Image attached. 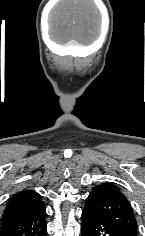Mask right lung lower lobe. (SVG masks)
<instances>
[{
	"label": "right lung lower lobe",
	"instance_id": "1",
	"mask_svg": "<svg viewBox=\"0 0 145 236\" xmlns=\"http://www.w3.org/2000/svg\"><path fill=\"white\" fill-rule=\"evenodd\" d=\"M45 207L15 218L3 221L0 236H46Z\"/></svg>",
	"mask_w": 145,
	"mask_h": 236
}]
</instances>
